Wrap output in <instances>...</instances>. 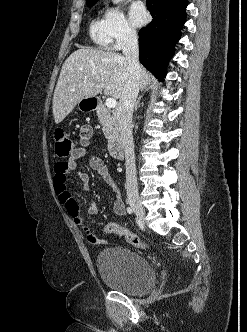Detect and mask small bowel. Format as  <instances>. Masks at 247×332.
<instances>
[{
  "mask_svg": "<svg viewBox=\"0 0 247 332\" xmlns=\"http://www.w3.org/2000/svg\"><path fill=\"white\" fill-rule=\"evenodd\" d=\"M92 129L89 126H83L80 129V147L66 160L59 161L54 166V189L58 196L60 203L65 207L67 213L74 220L75 224L82 228L85 232L87 241L92 245L105 244L106 240L96 236L87 226L84 216L79 211L78 202L73 198L67 187L68 175L76 173L77 178L81 183L83 191L88 190L90 177L84 171L77 170L78 161L83 157L89 158V164L93 171H95L115 192V200L113 202V211L117 216L125 214V204L120 194V189L114 178L109 173L107 166L103 159L90 151V138ZM88 214L93 216L98 212V206L95 202L89 204Z\"/></svg>",
  "mask_w": 247,
  "mask_h": 332,
  "instance_id": "c3829d8e",
  "label": "small bowel"
}]
</instances>
